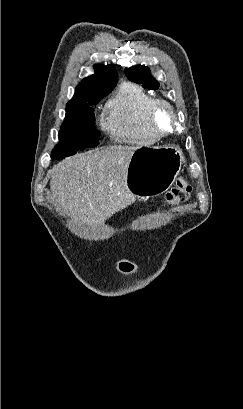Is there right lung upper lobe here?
Segmentation results:
<instances>
[{
  "mask_svg": "<svg viewBox=\"0 0 243 409\" xmlns=\"http://www.w3.org/2000/svg\"><path fill=\"white\" fill-rule=\"evenodd\" d=\"M94 69L95 74L82 80L66 108L88 107L112 91L118 78L114 66L96 65Z\"/></svg>",
  "mask_w": 243,
  "mask_h": 409,
  "instance_id": "cb5924a9",
  "label": "right lung upper lobe"
}]
</instances>
